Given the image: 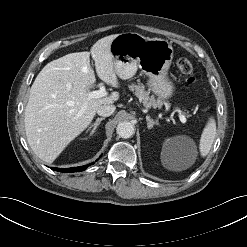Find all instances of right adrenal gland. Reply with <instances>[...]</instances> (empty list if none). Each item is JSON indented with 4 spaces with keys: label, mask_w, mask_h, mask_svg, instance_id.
Returning a JSON list of instances; mask_svg holds the SVG:
<instances>
[{
    "label": "right adrenal gland",
    "mask_w": 247,
    "mask_h": 247,
    "mask_svg": "<svg viewBox=\"0 0 247 247\" xmlns=\"http://www.w3.org/2000/svg\"><path fill=\"white\" fill-rule=\"evenodd\" d=\"M104 119H105V117L97 118V119H96V122H95L94 124H92V125L88 128L87 131H90V130L92 129L91 132H90V135H92V134L96 131L97 127L100 125L101 121L104 120Z\"/></svg>",
    "instance_id": "right-adrenal-gland-1"
}]
</instances>
